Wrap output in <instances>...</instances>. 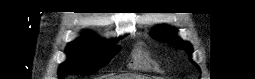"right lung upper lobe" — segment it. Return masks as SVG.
I'll return each mask as SVG.
<instances>
[{
    "label": "right lung upper lobe",
    "instance_id": "1",
    "mask_svg": "<svg viewBox=\"0 0 255 79\" xmlns=\"http://www.w3.org/2000/svg\"><path fill=\"white\" fill-rule=\"evenodd\" d=\"M86 37H91V38H94L92 35H90L89 33H87V36Z\"/></svg>",
    "mask_w": 255,
    "mask_h": 79
}]
</instances>
